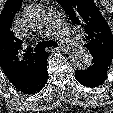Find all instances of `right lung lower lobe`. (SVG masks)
Wrapping results in <instances>:
<instances>
[{
    "instance_id": "obj_1",
    "label": "right lung lower lobe",
    "mask_w": 113,
    "mask_h": 113,
    "mask_svg": "<svg viewBox=\"0 0 113 113\" xmlns=\"http://www.w3.org/2000/svg\"><path fill=\"white\" fill-rule=\"evenodd\" d=\"M48 52L44 51V56L41 64L39 65L36 74L32 80H30L25 86L18 89L25 94H33L39 92L46 84L48 73H47V58Z\"/></svg>"
}]
</instances>
